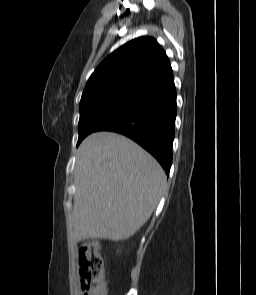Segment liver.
Instances as JSON below:
<instances>
[{
	"instance_id": "liver-1",
	"label": "liver",
	"mask_w": 256,
	"mask_h": 295,
	"mask_svg": "<svg viewBox=\"0 0 256 295\" xmlns=\"http://www.w3.org/2000/svg\"><path fill=\"white\" fill-rule=\"evenodd\" d=\"M166 180L160 164L129 138L112 132L89 135L74 168L73 240L133 236L155 210Z\"/></svg>"
}]
</instances>
